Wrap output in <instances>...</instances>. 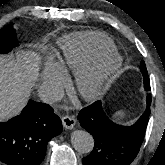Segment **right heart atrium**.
<instances>
[{"instance_id":"right-heart-atrium-1","label":"right heart atrium","mask_w":165,"mask_h":165,"mask_svg":"<svg viewBox=\"0 0 165 165\" xmlns=\"http://www.w3.org/2000/svg\"><path fill=\"white\" fill-rule=\"evenodd\" d=\"M66 75L57 65L45 69L41 78V87L47 92L56 93L65 84Z\"/></svg>"}]
</instances>
